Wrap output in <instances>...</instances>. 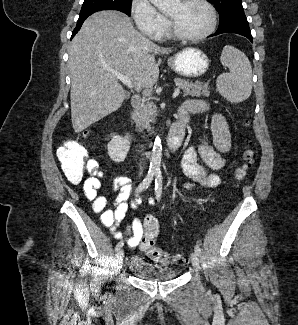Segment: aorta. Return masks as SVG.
I'll return each mask as SVG.
<instances>
[{"mask_svg": "<svg viewBox=\"0 0 298 325\" xmlns=\"http://www.w3.org/2000/svg\"><path fill=\"white\" fill-rule=\"evenodd\" d=\"M154 6H157L159 10H168L172 6H176L180 0H150ZM162 158V144L160 136H156L151 152L149 173H160Z\"/></svg>", "mask_w": 298, "mask_h": 325, "instance_id": "762f6f07", "label": "aorta"}]
</instances>
